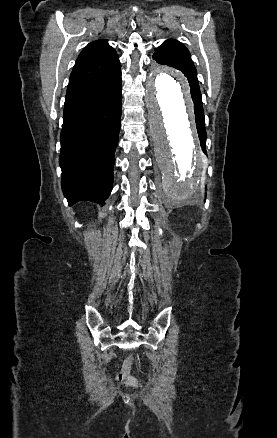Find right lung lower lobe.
Here are the masks:
<instances>
[{"label": "right lung lower lobe", "instance_id": "obj_1", "mask_svg": "<svg viewBox=\"0 0 277 438\" xmlns=\"http://www.w3.org/2000/svg\"><path fill=\"white\" fill-rule=\"evenodd\" d=\"M121 114V67L110 77L67 92L59 163L69 205L83 200L103 205L108 198Z\"/></svg>", "mask_w": 277, "mask_h": 438}]
</instances>
